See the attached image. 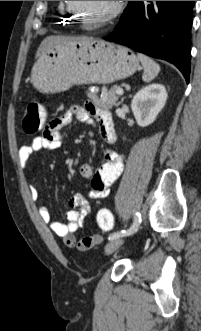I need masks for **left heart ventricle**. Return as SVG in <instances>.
<instances>
[{
    "instance_id": "obj_1",
    "label": "left heart ventricle",
    "mask_w": 201,
    "mask_h": 331,
    "mask_svg": "<svg viewBox=\"0 0 201 331\" xmlns=\"http://www.w3.org/2000/svg\"><path fill=\"white\" fill-rule=\"evenodd\" d=\"M73 4L84 18L94 22L112 9L114 1H73Z\"/></svg>"
}]
</instances>
